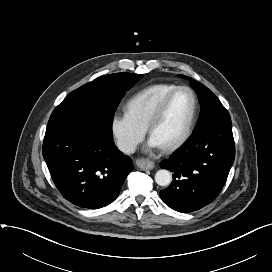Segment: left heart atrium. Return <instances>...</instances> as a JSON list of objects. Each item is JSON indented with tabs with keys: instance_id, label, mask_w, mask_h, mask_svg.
<instances>
[{
	"instance_id": "obj_1",
	"label": "left heart atrium",
	"mask_w": 272,
	"mask_h": 272,
	"mask_svg": "<svg viewBox=\"0 0 272 272\" xmlns=\"http://www.w3.org/2000/svg\"><path fill=\"white\" fill-rule=\"evenodd\" d=\"M148 146H149V148H159V147H161V145L153 137H150V139L148 141Z\"/></svg>"
}]
</instances>
